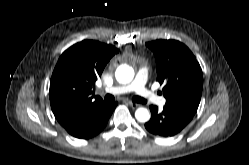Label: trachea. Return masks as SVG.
I'll return each instance as SVG.
<instances>
[{
    "label": "trachea",
    "instance_id": "obj_1",
    "mask_svg": "<svg viewBox=\"0 0 249 165\" xmlns=\"http://www.w3.org/2000/svg\"><path fill=\"white\" fill-rule=\"evenodd\" d=\"M104 99H105V101H114L115 100V98H114V96L113 95H111V94H107V95H105L104 96ZM132 101L133 102H137V103H146V100L145 99H143V98H141V97H138V96H134L133 98H132Z\"/></svg>",
    "mask_w": 249,
    "mask_h": 165
}]
</instances>
